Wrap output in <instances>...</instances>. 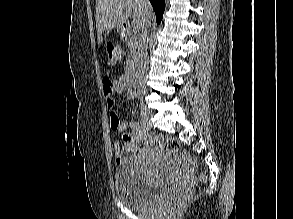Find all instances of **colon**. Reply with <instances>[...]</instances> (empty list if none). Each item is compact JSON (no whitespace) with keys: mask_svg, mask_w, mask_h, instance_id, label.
Wrapping results in <instances>:
<instances>
[{"mask_svg":"<svg viewBox=\"0 0 293 219\" xmlns=\"http://www.w3.org/2000/svg\"><path fill=\"white\" fill-rule=\"evenodd\" d=\"M123 53L121 49L113 44H107L106 57L109 65H114L121 61ZM155 142L163 151L173 155L175 159L188 171H195L198 167L197 160L194 156L186 152H180V145L177 139L171 136H157ZM209 174L202 171L198 176V181L201 183L207 182ZM194 184H186L177 189L166 201L169 209L174 210L178 208L194 191Z\"/></svg>","mask_w":293,"mask_h":219,"instance_id":"5ec220e1","label":"colon"}]
</instances>
